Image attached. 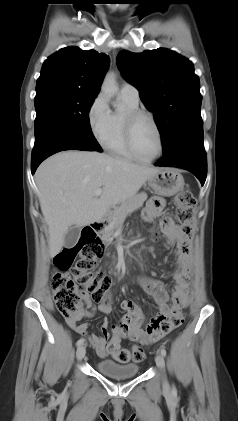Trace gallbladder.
Here are the masks:
<instances>
[{"label": "gallbladder", "mask_w": 238, "mask_h": 421, "mask_svg": "<svg viewBox=\"0 0 238 421\" xmlns=\"http://www.w3.org/2000/svg\"><path fill=\"white\" fill-rule=\"evenodd\" d=\"M79 237H80V228L75 227V226L70 227L64 237V246L67 249L73 248L78 242Z\"/></svg>", "instance_id": "bac80fb5"}]
</instances>
